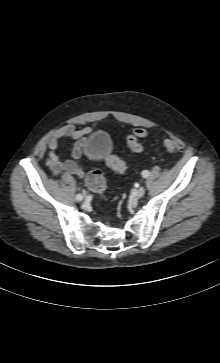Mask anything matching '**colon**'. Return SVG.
<instances>
[{"label": "colon", "mask_w": 220, "mask_h": 363, "mask_svg": "<svg viewBox=\"0 0 220 363\" xmlns=\"http://www.w3.org/2000/svg\"><path fill=\"white\" fill-rule=\"evenodd\" d=\"M148 136V131L144 128L134 129L127 137L128 147L135 153L143 151V145L140 139ZM164 148L169 152H174L177 149V143L173 139H165L163 141ZM107 164L110 168L119 174H125L128 171V165L116 155H109ZM86 184L89 189L95 193L102 194L106 187L104 175L101 170H93L89 173L86 179Z\"/></svg>", "instance_id": "1"}]
</instances>
